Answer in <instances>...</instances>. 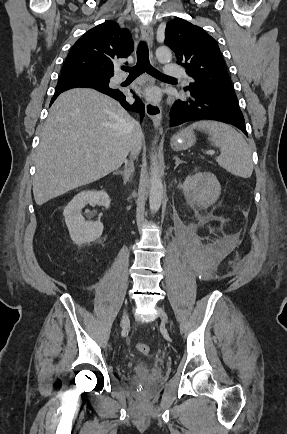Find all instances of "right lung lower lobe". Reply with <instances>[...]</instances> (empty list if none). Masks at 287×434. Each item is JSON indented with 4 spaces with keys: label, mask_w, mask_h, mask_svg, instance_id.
<instances>
[{
    "label": "right lung lower lobe",
    "mask_w": 287,
    "mask_h": 434,
    "mask_svg": "<svg viewBox=\"0 0 287 434\" xmlns=\"http://www.w3.org/2000/svg\"><path fill=\"white\" fill-rule=\"evenodd\" d=\"M76 87H89V88H94L104 94L109 95L110 97L118 100L121 105L129 111H134V112H138L141 114V120L144 117V104L143 102L136 97V101L133 104H130L126 101V97L125 95L118 89H111V88H104V87H100V86H95V85H66V84H57L56 89H55V94L52 98L51 103L54 102V100L57 98V96L70 88H76ZM135 96V95H134Z\"/></svg>",
    "instance_id": "1"
}]
</instances>
